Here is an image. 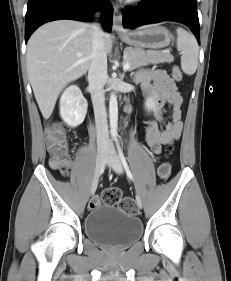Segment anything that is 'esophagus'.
<instances>
[{
    "label": "esophagus",
    "mask_w": 231,
    "mask_h": 281,
    "mask_svg": "<svg viewBox=\"0 0 231 281\" xmlns=\"http://www.w3.org/2000/svg\"><path fill=\"white\" fill-rule=\"evenodd\" d=\"M113 30L118 33L126 31L122 25V13L118 5H113Z\"/></svg>",
    "instance_id": "obj_1"
}]
</instances>
